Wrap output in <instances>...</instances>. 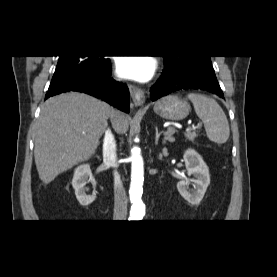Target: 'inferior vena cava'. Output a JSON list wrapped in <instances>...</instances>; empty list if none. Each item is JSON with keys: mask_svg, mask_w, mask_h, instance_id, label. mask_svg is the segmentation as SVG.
Instances as JSON below:
<instances>
[{"mask_svg": "<svg viewBox=\"0 0 277 277\" xmlns=\"http://www.w3.org/2000/svg\"><path fill=\"white\" fill-rule=\"evenodd\" d=\"M103 162L117 168L116 142L111 131L105 132L103 140ZM114 219L124 221L127 217V196L120 175L114 172Z\"/></svg>", "mask_w": 277, "mask_h": 277, "instance_id": "obj_1", "label": "inferior vena cava"}]
</instances>
